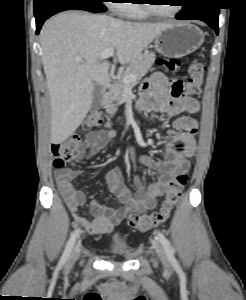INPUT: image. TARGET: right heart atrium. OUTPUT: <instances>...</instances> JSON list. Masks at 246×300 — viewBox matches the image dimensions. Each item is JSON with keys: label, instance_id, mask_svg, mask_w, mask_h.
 <instances>
[{"label": "right heart atrium", "instance_id": "d8ad5b80", "mask_svg": "<svg viewBox=\"0 0 246 300\" xmlns=\"http://www.w3.org/2000/svg\"><path fill=\"white\" fill-rule=\"evenodd\" d=\"M120 1H124V0H109V5L112 9L118 11L120 5L123 4V3H119Z\"/></svg>", "mask_w": 246, "mask_h": 300}]
</instances>
